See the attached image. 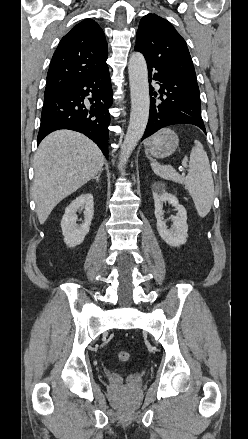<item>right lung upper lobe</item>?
Returning <instances> with one entry per match:
<instances>
[{
	"instance_id": "obj_1",
	"label": "right lung upper lobe",
	"mask_w": 248,
	"mask_h": 439,
	"mask_svg": "<svg viewBox=\"0 0 248 439\" xmlns=\"http://www.w3.org/2000/svg\"><path fill=\"white\" fill-rule=\"evenodd\" d=\"M108 46L101 27L85 19L65 35L52 57L44 96L107 67Z\"/></svg>"
}]
</instances>
